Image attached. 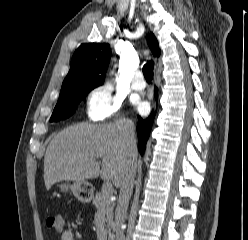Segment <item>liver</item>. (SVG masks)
I'll return each mask as SVG.
<instances>
[{
	"mask_svg": "<svg viewBox=\"0 0 248 240\" xmlns=\"http://www.w3.org/2000/svg\"><path fill=\"white\" fill-rule=\"evenodd\" d=\"M127 121L99 125L82 123L57 133L44 156L46 189L57 182L84 181L99 175L118 187L130 155L123 134ZM131 155L137 164V150ZM99 158L102 163L97 161Z\"/></svg>",
	"mask_w": 248,
	"mask_h": 240,
	"instance_id": "liver-1",
	"label": "liver"
}]
</instances>
